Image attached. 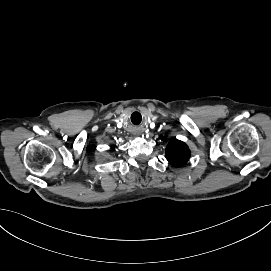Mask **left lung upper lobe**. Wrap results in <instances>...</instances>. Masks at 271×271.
Masks as SVG:
<instances>
[{
    "instance_id": "1",
    "label": "left lung upper lobe",
    "mask_w": 271,
    "mask_h": 271,
    "mask_svg": "<svg viewBox=\"0 0 271 271\" xmlns=\"http://www.w3.org/2000/svg\"><path fill=\"white\" fill-rule=\"evenodd\" d=\"M165 155L171 165L180 167L189 160L190 150L186 143L172 138L166 147Z\"/></svg>"
}]
</instances>
